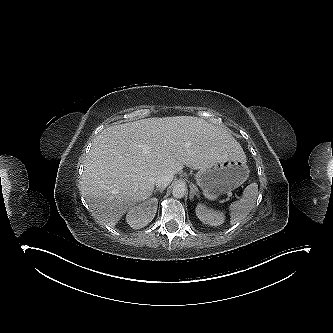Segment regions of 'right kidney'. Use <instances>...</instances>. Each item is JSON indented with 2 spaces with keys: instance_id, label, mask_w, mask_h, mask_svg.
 Segmentation results:
<instances>
[{
  "instance_id": "obj_1",
  "label": "right kidney",
  "mask_w": 333,
  "mask_h": 333,
  "mask_svg": "<svg viewBox=\"0 0 333 333\" xmlns=\"http://www.w3.org/2000/svg\"><path fill=\"white\" fill-rule=\"evenodd\" d=\"M158 199L151 198L128 210L126 221L133 229L145 227L157 212Z\"/></svg>"
}]
</instances>
